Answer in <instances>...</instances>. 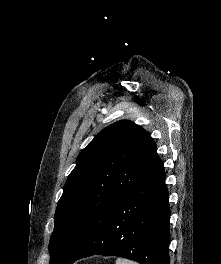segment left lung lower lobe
Instances as JSON below:
<instances>
[{
    "mask_svg": "<svg viewBox=\"0 0 221 264\" xmlns=\"http://www.w3.org/2000/svg\"><path fill=\"white\" fill-rule=\"evenodd\" d=\"M168 190L160 161L65 258L120 256L140 264H170Z\"/></svg>",
    "mask_w": 221,
    "mask_h": 264,
    "instance_id": "0a47b994",
    "label": "left lung lower lobe"
}]
</instances>
